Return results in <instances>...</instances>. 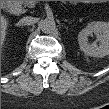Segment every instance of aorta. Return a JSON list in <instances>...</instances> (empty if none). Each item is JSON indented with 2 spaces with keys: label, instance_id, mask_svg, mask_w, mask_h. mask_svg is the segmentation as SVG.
I'll list each match as a JSON object with an SVG mask.
<instances>
[{
  "label": "aorta",
  "instance_id": "1",
  "mask_svg": "<svg viewBox=\"0 0 109 109\" xmlns=\"http://www.w3.org/2000/svg\"><path fill=\"white\" fill-rule=\"evenodd\" d=\"M39 27L43 33L49 34V33H53L55 31L56 23H55L54 19L47 18L40 22Z\"/></svg>",
  "mask_w": 109,
  "mask_h": 109
}]
</instances>
